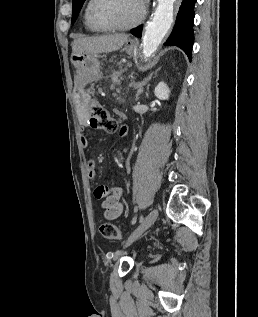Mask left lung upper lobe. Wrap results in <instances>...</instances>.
<instances>
[{
  "mask_svg": "<svg viewBox=\"0 0 258 317\" xmlns=\"http://www.w3.org/2000/svg\"><path fill=\"white\" fill-rule=\"evenodd\" d=\"M85 0H72V7H73V13H72V23L75 22V20L78 17V14L83 6Z\"/></svg>",
  "mask_w": 258,
  "mask_h": 317,
  "instance_id": "obj_1",
  "label": "left lung upper lobe"
}]
</instances>
